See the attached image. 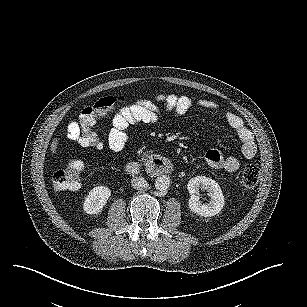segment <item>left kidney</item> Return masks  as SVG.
Returning <instances> with one entry per match:
<instances>
[{"label":"left kidney","mask_w":307,"mask_h":307,"mask_svg":"<svg viewBox=\"0 0 307 307\" xmlns=\"http://www.w3.org/2000/svg\"><path fill=\"white\" fill-rule=\"evenodd\" d=\"M190 209L205 217H211L220 212L224 206V196L218 183L205 176L191 178L188 182ZM199 189L207 191L209 202L204 204L200 199Z\"/></svg>","instance_id":"obj_1"}]
</instances>
